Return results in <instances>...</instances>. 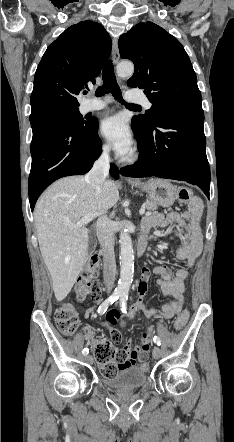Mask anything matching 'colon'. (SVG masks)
Listing matches in <instances>:
<instances>
[{
    "label": "colon",
    "instance_id": "obj_1",
    "mask_svg": "<svg viewBox=\"0 0 234 442\" xmlns=\"http://www.w3.org/2000/svg\"><path fill=\"white\" fill-rule=\"evenodd\" d=\"M178 198L181 203L186 204L191 203L196 197L191 189L184 187L179 190ZM97 274L98 256L94 255L88 261L84 274L77 282L76 293L79 300H85L88 297L94 300L99 299L103 287L95 281ZM187 319L188 313L185 311L175 319L174 328L181 330ZM55 321L59 331L66 336L73 335L78 328L77 314L70 304H63L56 310ZM94 355L100 372L105 377H111L118 369L127 366L126 355L121 350H116L108 340L100 339L95 342ZM142 362V367L147 368L144 359Z\"/></svg>",
    "mask_w": 234,
    "mask_h": 442
}]
</instances>
